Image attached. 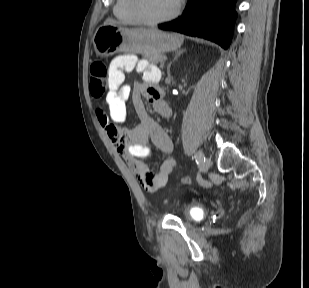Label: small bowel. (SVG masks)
<instances>
[{
    "label": "small bowel",
    "instance_id": "small-bowel-1",
    "mask_svg": "<svg viewBox=\"0 0 309 288\" xmlns=\"http://www.w3.org/2000/svg\"><path fill=\"white\" fill-rule=\"evenodd\" d=\"M134 68L144 75V80L131 88L124 84V79L125 73ZM108 77L109 92L106 104L109 114L99 109L97 118L114 148L125 157L144 189L150 193H157L167 184L175 165V160L171 157L173 144L170 136L148 115L143 102L144 97L162 117L170 115L171 109L163 99V90L158 85L159 71L147 60H138L134 55L125 54L111 61ZM130 97L139 114L140 123L127 129L117 124L126 118V101ZM149 140L166 156L156 171L142 161L150 156L151 150L147 145Z\"/></svg>",
    "mask_w": 309,
    "mask_h": 288
}]
</instances>
